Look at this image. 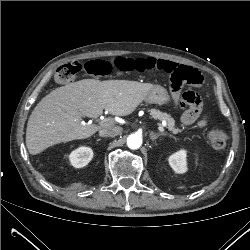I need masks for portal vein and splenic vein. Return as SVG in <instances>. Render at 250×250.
<instances>
[{
  "mask_svg": "<svg viewBox=\"0 0 250 250\" xmlns=\"http://www.w3.org/2000/svg\"><path fill=\"white\" fill-rule=\"evenodd\" d=\"M112 123H113V121L111 119H104L100 122V125L101 126H109ZM158 129L160 132H164V128L161 125L158 126Z\"/></svg>",
  "mask_w": 250,
  "mask_h": 250,
  "instance_id": "portal-vein-and-splenic-vein-1",
  "label": "portal vein and splenic vein"
}]
</instances>
